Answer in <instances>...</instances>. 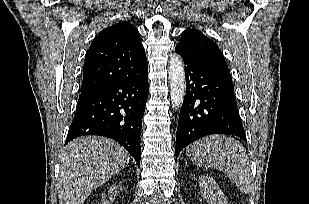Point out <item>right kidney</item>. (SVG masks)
Segmentation results:
<instances>
[{
  "mask_svg": "<svg viewBox=\"0 0 309 204\" xmlns=\"http://www.w3.org/2000/svg\"><path fill=\"white\" fill-rule=\"evenodd\" d=\"M117 193H118V185H115V186H113L111 189H110V191H109V196H107V197H104V199L102 200V203L103 204H109L112 200H113V198H115V196L117 195Z\"/></svg>",
  "mask_w": 309,
  "mask_h": 204,
  "instance_id": "right-kidney-1",
  "label": "right kidney"
}]
</instances>
